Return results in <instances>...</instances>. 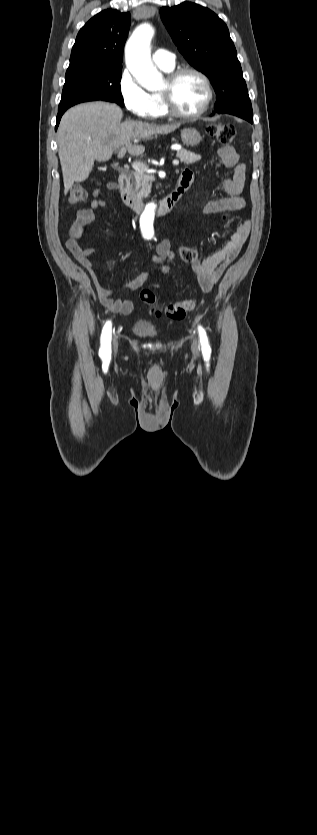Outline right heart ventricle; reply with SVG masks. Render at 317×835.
<instances>
[{
  "mask_svg": "<svg viewBox=\"0 0 317 835\" xmlns=\"http://www.w3.org/2000/svg\"><path fill=\"white\" fill-rule=\"evenodd\" d=\"M166 72H171L173 69H163ZM155 106V117H162L168 114V110L161 96V93L156 92L150 94Z\"/></svg>",
  "mask_w": 317,
  "mask_h": 835,
  "instance_id": "e07e8e85",
  "label": "right heart ventricle"
}]
</instances>
